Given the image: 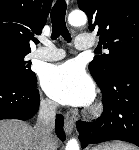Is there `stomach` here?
<instances>
[{
	"label": "stomach",
	"mask_w": 139,
	"mask_h": 150,
	"mask_svg": "<svg viewBox=\"0 0 139 150\" xmlns=\"http://www.w3.org/2000/svg\"><path fill=\"white\" fill-rule=\"evenodd\" d=\"M91 150H111V147L107 144L93 147Z\"/></svg>",
	"instance_id": "0dacf381"
}]
</instances>
